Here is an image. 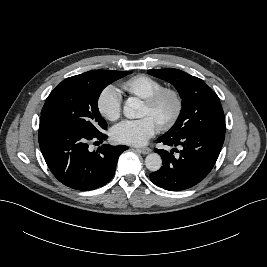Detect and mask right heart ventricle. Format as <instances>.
<instances>
[{
  "label": "right heart ventricle",
  "instance_id": "right-heart-ventricle-1",
  "mask_svg": "<svg viewBox=\"0 0 267 267\" xmlns=\"http://www.w3.org/2000/svg\"><path fill=\"white\" fill-rule=\"evenodd\" d=\"M121 87L128 94L144 100L162 88L163 84L152 76L139 74L124 81Z\"/></svg>",
  "mask_w": 267,
  "mask_h": 267
}]
</instances>
